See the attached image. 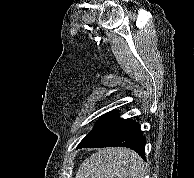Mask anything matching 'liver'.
Returning a JSON list of instances; mask_svg holds the SVG:
<instances>
[{
  "label": "liver",
  "mask_w": 194,
  "mask_h": 178,
  "mask_svg": "<svg viewBox=\"0 0 194 178\" xmlns=\"http://www.w3.org/2000/svg\"><path fill=\"white\" fill-rule=\"evenodd\" d=\"M141 157L126 148H106L93 153L80 165L75 178H144Z\"/></svg>",
  "instance_id": "obj_1"
}]
</instances>
